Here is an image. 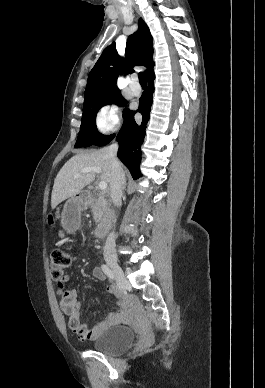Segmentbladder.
<instances>
[{
	"instance_id": "obj_1",
	"label": "bladder",
	"mask_w": 265,
	"mask_h": 388,
	"mask_svg": "<svg viewBox=\"0 0 265 388\" xmlns=\"http://www.w3.org/2000/svg\"><path fill=\"white\" fill-rule=\"evenodd\" d=\"M134 333L129 327H115L104 331L94 342V349L105 353H118L133 345Z\"/></svg>"
}]
</instances>
